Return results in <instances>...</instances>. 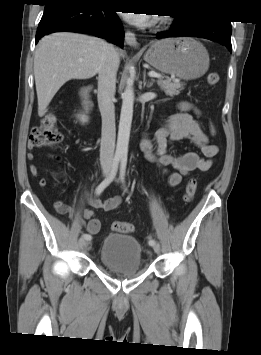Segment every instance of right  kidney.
I'll return each instance as SVG.
<instances>
[{"label":"right kidney","mask_w":261,"mask_h":355,"mask_svg":"<svg viewBox=\"0 0 261 355\" xmlns=\"http://www.w3.org/2000/svg\"><path fill=\"white\" fill-rule=\"evenodd\" d=\"M79 120L82 122V123H86L88 122V117L86 115H79Z\"/></svg>","instance_id":"right-kidney-1"}]
</instances>
